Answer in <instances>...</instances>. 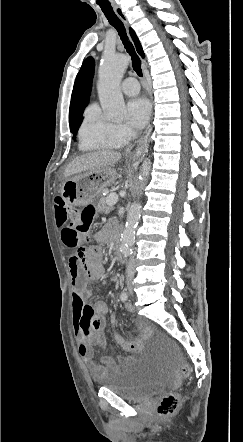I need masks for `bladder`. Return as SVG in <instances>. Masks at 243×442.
I'll return each mask as SVG.
<instances>
[{
	"mask_svg": "<svg viewBox=\"0 0 243 442\" xmlns=\"http://www.w3.org/2000/svg\"><path fill=\"white\" fill-rule=\"evenodd\" d=\"M164 382L165 377L154 368L152 360L129 357L96 384L125 400L142 401L161 391Z\"/></svg>",
	"mask_w": 243,
	"mask_h": 442,
	"instance_id": "obj_1",
	"label": "bladder"
}]
</instances>
